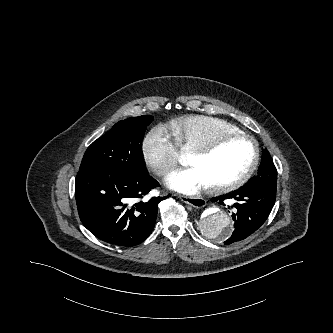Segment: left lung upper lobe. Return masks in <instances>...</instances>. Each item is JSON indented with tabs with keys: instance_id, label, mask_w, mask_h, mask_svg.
<instances>
[{
	"instance_id": "obj_1",
	"label": "left lung upper lobe",
	"mask_w": 333,
	"mask_h": 333,
	"mask_svg": "<svg viewBox=\"0 0 333 333\" xmlns=\"http://www.w3.org/2000/svg\"><path fill=\"white\" fill-rule=\"evenodd\" d=\"M277 170L267 150L262 151V160L256 176H253L244 187L265 188L276 191Z\"/></svg>"
}]
</instances>
